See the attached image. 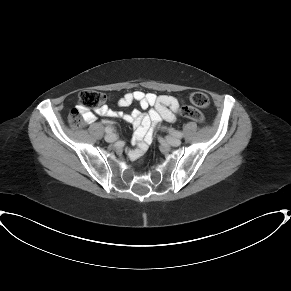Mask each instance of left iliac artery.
Masks as SVG:
<instances>
[{
	"label": "left iliac artery",
	"instance_id": "obj_1",
	"mask_svg": "<svg viewBox=\"0 0 291 291\" xmlns=\"http://www.w3.org/2000/svg\"><path fill=\"white\" fill-rule=\"evenodd\" d=\"M171 132H172V135L176 136L177 138L183 137V133L180 131L172 130Z\"/></svg>",
	"mask_w": 291,
	"mask_h": 291
}]
</instances>
